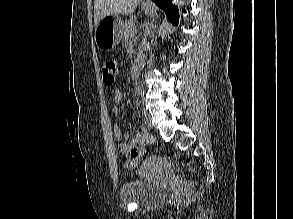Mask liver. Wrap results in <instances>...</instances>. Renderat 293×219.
Here are the masks:
<instances>
[{
  "instance_id": "1",
  "label": "liver",
  "mask_w": 293,
  "mask_h": 219,
  "mask_svg": "<svg viewBox=\"0 0 293 219\" xmlns=\"http://www.w3.org/2000/svg\"><path fill=\"white\" fill-rule=\"evenodd\" d=\"M141 0H95L94 1V25L109 15L132 14Z\"/></svg>"
}]
</instances>
